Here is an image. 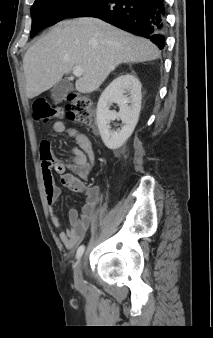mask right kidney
Wrapping results in <instances>:
<instances>
[{"mask_svg":"<svg viewBox=\"0 0 213 338\" xmlns=\"http://www.w3.org/2000/svg\"><path fill=\"white\" fill-rule=\"evenodd\" d=\"M141 100V83L131 74L117 77L103 91L98 101L96 119L107 148L121 147L132 135L139 119ZM113 103L118 104V113L109 109ZM115 119L122 120L121 130H110L109 124Z\"/></svg>","mask_w":213,"mask_h":338,"instance_id":"ca27d5eb","label":"right kidney"}]
</instances>
